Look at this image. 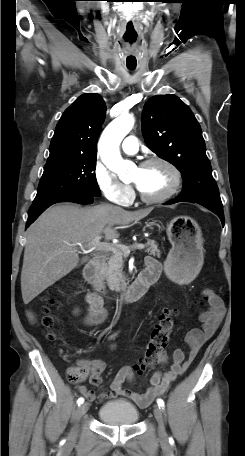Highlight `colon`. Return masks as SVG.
<instances>
[{"mask_svg":"<svg viewBox=\"0 0 245 456\" xmlns=\"http://www.w3.org/2000/svg\"><path fill=\"white\" fill-rule=\"evenodd\" d=\"M44 301L45 305L43 309V324L46 328H52L55 319L51 314V310L53 307H58L59 305L50 297H45ZM173 316L174 311L168 310L161 314L158 319L152 324V331L145 349L144 357L142 361L135 367L137 373L145 372L162 360L165 354V349L169 342L170 333L173 328ZM48 338L50 340H54V333L49 332ZM87 376L88 370L82 365L72 367L68 371V378L73 383H79L83 381Z\"/></svg>","mask_w":245,"mask_h":456,"instance_id":"5ec220e1","label":"colon"}]
</instances>
